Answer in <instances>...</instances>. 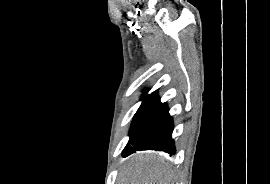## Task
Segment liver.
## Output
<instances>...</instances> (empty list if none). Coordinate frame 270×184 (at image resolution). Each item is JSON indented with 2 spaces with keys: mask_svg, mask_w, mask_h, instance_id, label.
<instances>
[{
  "mask_svg": "<svg viewBox=\"0 0 270 184\" xmlns=\"http://www.w3.org/2000/svg\"><path fill=\"white\" fill-rule=\"evenodd\" d=\"M117 184H170L172 173L162 155L138 152L122 163Z\"/></svg>",
  "mask_w": 270,
  "mask_h": 184,
  "instance_id": "6515ba94",
  "label": "liver"
}]
</instances>
